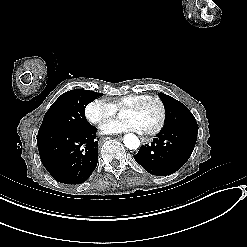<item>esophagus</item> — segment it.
I'll return each instance as SVG.
<instances>
[{
    "mask_svg": "<svg viewBox=\"0 0 247 247\" xmlns=\"http://www.w3.org/2000/svg\"><path fill=\"white\" fill-rule=\"evenodd\" d=\"M140 140H141L142 145H145L147 143V141L142 137H140Z\"/></svg>",
    "mask_w": 247,
    "mask_h": 247,
    "instance_id": "obj_1",
    "label": "esophagus"
}]
</instances>
